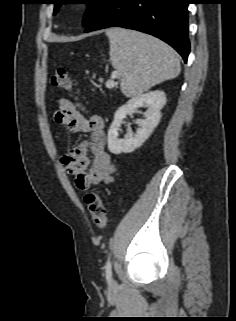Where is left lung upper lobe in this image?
Masks as SVG:
<instances>
[{
	"instance_id": "5c2ea615",
	"label": "left lung upper lobe",
	"mask_w": 236,
	"mask_h": 321,
	"mask_svg": "<svg viewBox=\"0 0 236 321\" xmlns=\"http://www.w3.org/2000/svg\"><path fill=\"white\" fill-rule=\"evenodd\" d=\"M65 1L66 0H52V2L55 4L54 14L57 13L58 8L62 4L68 3ZM80 1H83L82 3L89 5L83 21V26L86 28L91 23V21L95 17H97L107 7V5L111 0H80Z\"/></svg>"
}]
</instances>
